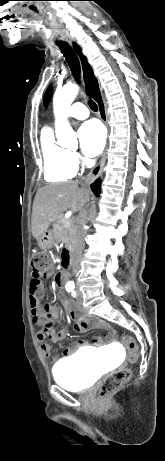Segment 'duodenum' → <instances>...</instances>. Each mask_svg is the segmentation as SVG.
I'll list each match as a JSON object with an SVG mask.
<instances>
[{
  "label": "duodenum",
  "mask_w": 165,
  "mask_h": 461,
  "mask_svg": "<svg viewBox=\"0 0 165 461\" xmlns=\"http://www.w3.org/2000/svg\"><path fill=\"white\" fill-rule=\"evenodd\" d=\"M62 260L64 262V266L68 267L71 264V253L69 249H65L62 253Z\"/></svg>",
  "instance_id": "obj_1"
}]
</instances>
